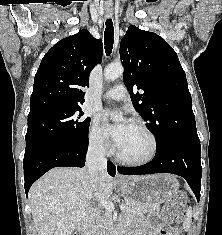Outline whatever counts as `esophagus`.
Instances as JSON below:
<instances>
[{
  "mask_svg": "<svg viewBox=\"0 0 222 235\" xmlns=\"http://www.w3.org/2000/svg\"><path fill=\"white\" fill-rule=\"evenodd\" d=\"M106 17H110L112 15V9H106L105 10ZM116 181H123L124 178L117 172L115 176Z\"/></svg>",
  "mask_w": 222,
  "mask_h": 235,
  "instance_id": "obj_1",
  "label": "esophagus"
}]
</instances>
